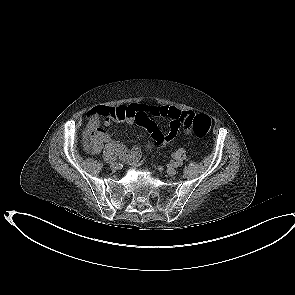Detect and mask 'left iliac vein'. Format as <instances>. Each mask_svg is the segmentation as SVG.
Returning a JSON list of instances; mask_svg holds the SVG:
<instances>
[{
    "label": "left iliac vein",
    "mask_w": 295,
    "mask_h": 295,
    "mask_svg": "<svg viewBox=\"0 0 295 295\" xmlns=\"http://www.w3.org/2000/svg\"><path fill=\"white\" fill-rule=\"evenodd\" d=\"M176 172H177L176 169L173 168V167H169L167 169V174L170 175V176H174L176 174Z\"/></svg>",
    "instance_id": "1"
}]
</instances>
